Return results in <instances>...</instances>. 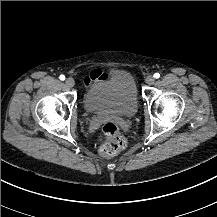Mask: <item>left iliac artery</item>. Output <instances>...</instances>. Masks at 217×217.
Listing matches in <instances>:
<instances>
[{
	"mask_svg": "<svg viewBox=\"0 0 217 217\" xmlns=\"http://www.w3.org/2000/svg\"><path fill=\"white\" fill-rule=\"evenodd\" d=\"M154 77L157 79V78L160 77V74H159V73H155V74H154Z\"/></svg>",
	"mask_w": 217,
	"mask_h": 217,
	"instance_id": "44dca946",
	"label": "left iliac artery"
}]
</instances>
